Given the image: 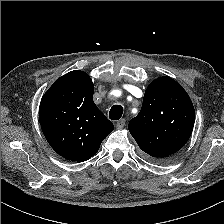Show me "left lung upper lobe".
<instances>
[{"label": "left lung upper lobe", "instance_id": "left-lung-upper-lobe-1", "mask_svg": "<svg viewBox=\"0 0 224 224\" xmlns=\"http://www.w3.org/2000/svg\"><path fill=\"white\" fill-rule=\"evenodd\" d=\"M195 111L187 92L170 77H159L147 87L140 113L128 128L138 146L154 159L179 151L193 130Z\"/></svg>", "mask_w": 224, "mask_h": 224}]
</instances>
